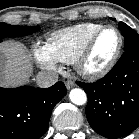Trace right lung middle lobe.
I'll return each instance as SVG.
<instances>
[{
	"label": "right lung middle lobe",
	"mask_w": 139,
	"mask_h": 139,
	"mask_svg": "<svg viewBox=\"0 0 139 139\" xmlns=\"http://www.w3.org/2000/svg\"><path fill=\"white\" fill-rule=\"evenodd\" d=\"M40 30L39 27H21L0 22V42L5 37H21Z\"/></svg>",
	"instance_id": "right-lung-middle-lobe-1"
}]
</instances>
